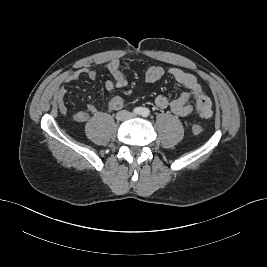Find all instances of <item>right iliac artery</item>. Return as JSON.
Here are the masks:
<instances>
[{
    "instance_id": "1",
    "label": "right iliac artery",
    "mask_w": 267,
    "mask_h": 267,
    "mask_svg": "<svg viewBox=\"0 0 267 267\" xmlns=\"http://www.w3.org/2000/svg\"><path fill=\"white\" fill-rule=\"evenodd\" d=\"M142 111H143V109H142V108H140V107H137V108H135V109L133 110V113H134V114H141V113H142Z\"/></svg>"
}]
</instances>
